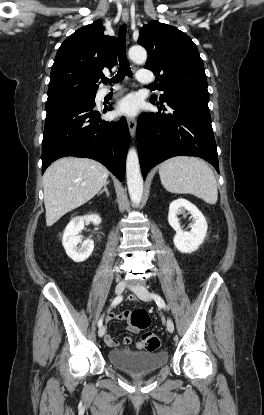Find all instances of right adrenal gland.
Listing matches in <instances>:
<instances>
[{
	"mask_svg": "<svg viewBox=\"0 0 264 415\" xmlns=\"http://www.w3.org/2000/svg\"><path fill=\"white\" fill-rule=\"evenodd\" d=\"M108 184H109V181H107V182L105 183L103 190H101V191L98 193V195H100V194H102L103 192H105V193H106V195H107V197H109V191H108V189H107V185H108Z\"/></svg>",
	"mask_w": 264,
	"mask_h": 415,
	"instance_id": "2a0ac1e0",
	"label": "right adrenal gland"
}]
</instances>
